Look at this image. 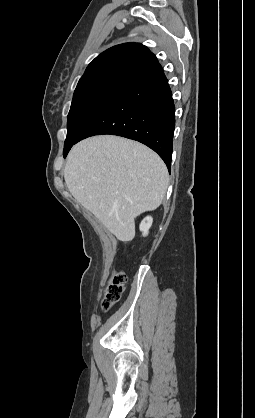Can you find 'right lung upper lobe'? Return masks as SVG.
I'll list each match as a JSON object with an SVG mask.
<instances>
[{"label": "right lung upper lobe", "instance_id": "obj_1", "mask_svg": "<svg viewBox=\"0 0 255 418\" xmlns=\"http://www.w3.org/2000/svg\"><path fill=\"white\" fill-rule=\"evenodd\" d=\"M162 71L157 58L146 46L124 43L97 56L88 65L77 86L108 82L127 87Z\"/></svg>", "mask_w": 255, "mask_h": 418}]
</instances>
